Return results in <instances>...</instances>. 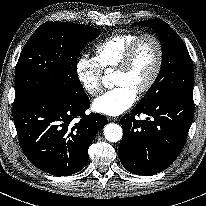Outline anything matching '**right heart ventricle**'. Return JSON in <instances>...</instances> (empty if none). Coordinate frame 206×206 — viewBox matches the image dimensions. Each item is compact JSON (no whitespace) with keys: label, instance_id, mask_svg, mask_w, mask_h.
I'll return each instance as SVG.
<instances>
[{"label":"right heart ventricle","instance_id":"1","mask_svg":"<svg viewBox=\"0 0 206 206\" xmlns=\"http://www.w3.org/2000/svg\"><path fill=\"white\" fill-rule=\"evenodd\" d=\"M138 32L117 33L101 42L95 49L96 59L103 70L116 69Z\"/></svg>","mask_w":206,"mask_h":206}]
</instances>
